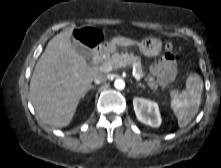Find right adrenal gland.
I'll use <instances>...</instances> for the list:
<instances>
[{
    "label": "right adrenal gland",
    "instance_id": "2a0ac1e0",
    "mask_svg": "<svg viewBox=\"0 0 221 168\" xmlns=\"http://www.w3.org/2000/svg\"><path fill=\"white\" fill-rule=\"evenodd\" d=\"M91 89H96V86L91 85V86L89 87V90H91Z\"/></svg>",
    "mask_w": 221,
    "mask_h": 168
}]
</instances>
